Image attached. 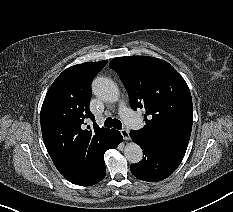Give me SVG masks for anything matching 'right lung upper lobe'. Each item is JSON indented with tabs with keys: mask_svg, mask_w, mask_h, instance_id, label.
Returning a JSON list of instances; mask_svg holds the SVG:
<instances>
[{
	"mask_svg": "<svg viewBox=\"0 0 233 212\" xmlns=\"http://www.w3.org/2000/svg\"><path fill=\"white\" fill-rule=\"evenodd\" d=\"M107 60L85 62L64 70L50 86L40 114L41 130L47 151L58 171L76 184L90 174L98 154L112 129H93L83 124L95 122L89 110L91 82Z\"/></svg>",
	"mask_w": 233,
	"mask_h": 212,
	"instance_id": "obj_1",
	"label": "right lung upper lobe"
}]
</instances>
